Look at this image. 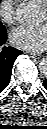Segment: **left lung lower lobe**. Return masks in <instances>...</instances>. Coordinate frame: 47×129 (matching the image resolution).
<instances>
[{"label": "left lung lower lobe", "instance_id": "0a47b994", "mask_svg": "<svg viewBox=\"0 0 47 129\" xmlns=\"http://www.w3.org/2000/svg\"><path fill=\"white\" fill-rule=\"evenodd\" d=\"M44 87L47 89V79L43 81Z\"/></svg>", "mask_w": 47, "mask_h": 129}]
</instances>
